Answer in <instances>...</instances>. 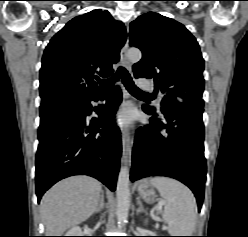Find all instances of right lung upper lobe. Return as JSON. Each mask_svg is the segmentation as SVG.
I'll return each mask as SVG.
<instances>
[{"label": "right lung upper lobe", "instance_id": "1", "mask_svg": "<svg viewBox=\"0 0 248 237\" xmlns=\"http://www.w3.org/2000/svg\"><path fill=\"white\" fill-rule=\"evenodd\" d=\"M126 41L124 25L96 9L69 21L47 45L40 69L41 105L78 101L99 92Z\"/></svg>", "mask_w": 248, "mask_h": 237}]
</instances>
